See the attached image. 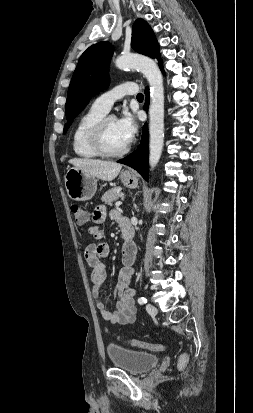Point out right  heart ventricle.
I'll list each match as a JSON object with an SVG mask.
<instances>
[{
	"mask_svg": "<svg viewBox=\"0 0 253 413\" xmlns=\"http://www.w3.org/2000/svg\"><path fill=\"white\" fill-rule=\"evenodd\" d=\"M105 114L92 106L79 117L72 133V147L77 156L85 159H93L100 156L90 144L89 132L92 126Z\"/></svg>",
	"mask_w": 253,
	"mask_h": 413,
	"instance_id": "e07e8e85",
	"label": "right heart ventricle"
}]
</instances>
